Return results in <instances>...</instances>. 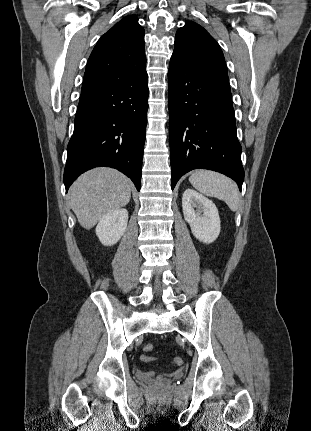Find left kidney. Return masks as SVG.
<instances>
[{"label":"left kidney","instance_id":"left-kidney-1","mask_svg":"<svg viewBox=\"0 0 311 431\" xmlns=\"http://www.w3.org/2000/svg\"><path fill=\"white\" fill-rule=\"evenodd\" d=\"M182 210L197 239L212 243L218 237L221 229L220 217L211 200L188 188L182 196Z\"/></svg>","mask_w":311,"mask_h":431}]
</instances>
